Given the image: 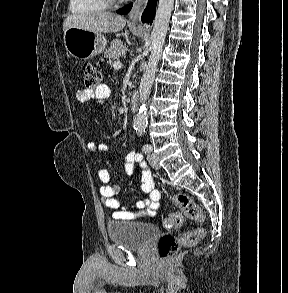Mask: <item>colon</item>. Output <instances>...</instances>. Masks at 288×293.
I'll use <instances>...</instances> for the list:
<instances>
[{"label": "colon", "mask_w": 288, "mask_h": 293, "mask_svg": "<svg viewBox=\"0 0 288 293\" xmlns=\"http://www.w3.org/2000/svg\"><path fill=\"white\" fill-rule=\"evenodd\" d=\"M83 78L86 89L96 90L102 82L100 70L92 65L83 66ZM172 203L180 209V212H170L163 219V226L166 229H177L184 223V219L189 218L196 221L203 220V213L198 203L187 194H177L173 196ZM204 236L201 227L185 232L180 236L163 235L158 241V253L162 260L173 257L182 247H193Z\"/></svg>", "instance_id": "5ec220e1"}]
</instances>
